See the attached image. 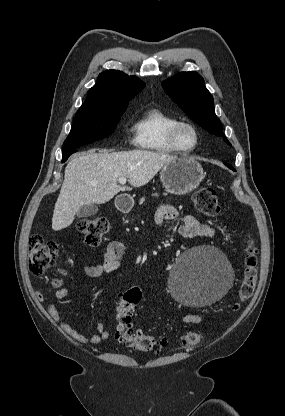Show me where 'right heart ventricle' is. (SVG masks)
Returning <instances> with one entry per match:
<instances>
[{
    "label": "right heart ventricle",
    "mask_w": 285,
    "mask_h": 416,
    "mask_svg": "<svg viewBox=\"0 0 285 416\" xmlns=\"http://www.w3.org/2000/svg\"><path fill=\"white\" fill-rule=\"evenodd\" d=\"M176 121L174 115L160 107L148 108L135 122V144L152 153H175L169 141V130Z\"/></svg>",
    "instance_id": "e07e8e85"
}]
</instances>
